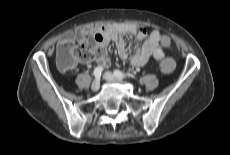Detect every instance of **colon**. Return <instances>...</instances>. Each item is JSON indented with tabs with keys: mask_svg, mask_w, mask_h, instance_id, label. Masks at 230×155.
<instances>
[{
	"mask_svg": "<svg viewBox=\"0 0 230 155\" xmlns=\"http://www.w3.org/2000/svg\"><path fill=\"white\" fill-rule=\"evenodd\" d=\"M103 54L99 46L89 47L84 44L70 45L61 43L56 52V63L63 71H70L78 62H89ZM176 68V60L172 56H165L160 61V70L165 74L172 73Z\"/></svg>",
	"mask_w": 230,
	"mask_h": 155,
	"instance_id": "obj_1",
	"label": "colon"
}]
</instances>
